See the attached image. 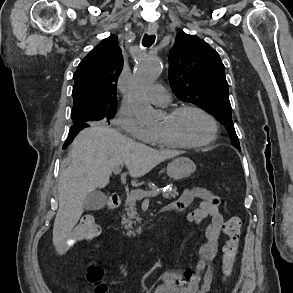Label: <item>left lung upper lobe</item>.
<instances>
[{"instance_id":"obj_1","label":"left lung upper lobe","mask_w":293,"mask_h":293,"mask_svg":"<svg viewBox=\"0 0 293 293\" xmlns=\"http://www.w3.org/2000/svg\"><path fill=\"white\" fill-rule=\"evenodd\" d=\"M169 81L181 100L205 109L224 124L231 142L240 149L232 122L225 67L209 44L195 35L178 33L169 53Z\"/></svg>"}]
</instances>
